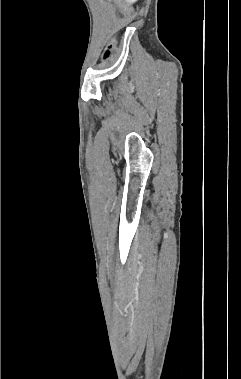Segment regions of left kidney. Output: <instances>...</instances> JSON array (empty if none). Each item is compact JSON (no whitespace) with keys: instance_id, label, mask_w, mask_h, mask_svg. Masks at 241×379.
I'll use <instances>...</instances> for the list:
<instances>
[{"instance_id":"1","label":"left kidney","mask_w":241,"mask_h":379,"mask_svg":"<svg viewBox=\"0 0 241 379\" xmlns=\"http://www.w3.org/2000/svg\"><path fill=\"white\" fill-rule=\"evenodd\" d=\"M137 0H126V2L127 3H129V4H133V3H135Z\"/></svg>"}]
</instances>
